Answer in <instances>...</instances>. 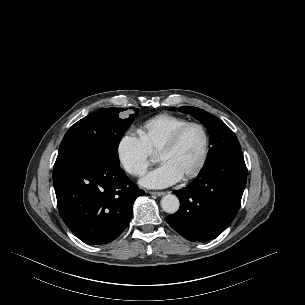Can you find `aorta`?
Masks as SVG:
<instances>
[{
	"label": "aorta",
	"instance_id": "762f6f07",
	"mask_svg": "<svg viewBox=\"0 0 305 305\" xmlns=\"http://www.w3.org/2000/svg\"><path fill=\"white\" fill-rule=\"evenodd\" d=\"M180 206L179 199L176 195L167 194L164 195L161 199L162 209L169 214H174L178 211Z\"/></svg>",
	"mask_w": 305,
	"mask_h": 305
}]
</instances>
